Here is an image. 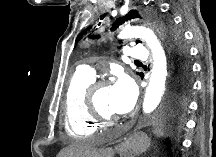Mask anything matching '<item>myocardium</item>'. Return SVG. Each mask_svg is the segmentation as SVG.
Listing matches in <instances>:
<instances>
[{"label": "myocardium", "instance_id": "1", "mask_svg": "<svg viewBox=\"0 0 216 157\" xmlns=\"http://www.w3.org/2000/svg\"><path fill=\"white\" fill-rule=\"evenodd\" d=\"M105 87H107V80L99 79V80L93 81L87 88L86 101H87L88 111L91 117L98 124L108 125L116 121L117 118L102 114L99 111L96 101H95V96L97 92L100 89L105 88Z\"/></svg>", "mask_w": 216, "mask_h": 157}]
</instances>
